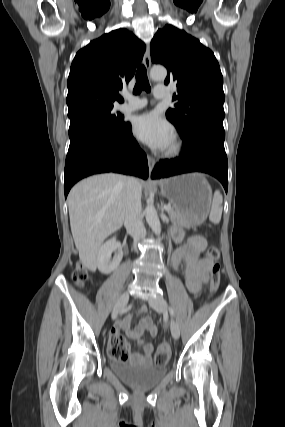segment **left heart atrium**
<instances>
[{"label": "left heart atrium", "mask_w": 285, "mask_h": 427, "mask_svg": "<svg viewBox=\"0 0 285 427\" xmlns=\"http://www.w3.org/2000/svg\"><path fill=\"white\" fill-rule=\"evenodd\" d=\"M133 131L140 140L156 150L167 149L174 138L172 126L155 112L138 116L134 121Z\"/></svg>", "instance_id": "1"}]
</instances>
